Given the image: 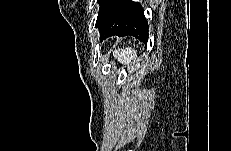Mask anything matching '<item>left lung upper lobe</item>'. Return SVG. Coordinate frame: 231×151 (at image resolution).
Here are the masks:
<instances>
[{
    "mask_svg": "<svg viewBox=\"0 0 231 151\" xmlns=\"http://www.w3.org/2000/svg\"><path fill=\"white\" fill-rule=\"evenodd\" d=\"M109 1L110 0H97V2L100 5V9H99V13H98L97 21H96V26L100 22L103 14H104L105 8H106V6H107V4H108Z\"/></svg>",
    "mask_w": 231,
    "mask_h": 151,
    "instance_id": "obj_1",
    "label": "left lung upper lobe"
}]
</instances>
